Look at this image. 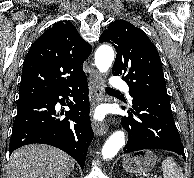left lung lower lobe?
<instances>
[{
  "mask_svg": "<svg viewBox=\"0 0 194 178\" xmlns=\"http://www.w3.org/2000/svg\"><path fill=\"white\" fill-rule=\"evenodd\" d=\"M130 96L133 98L132 108L128 110L129 117L122 120L129 134L123 153L163 149L173 151L186 160L168 95L133 91Z\"/></svg>",
  "mask_w": 194,
  "mask_h": 178,
  "instance_id": "1",
  "label": "left lung lower lobe"
}]
</instances>
